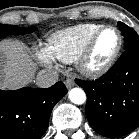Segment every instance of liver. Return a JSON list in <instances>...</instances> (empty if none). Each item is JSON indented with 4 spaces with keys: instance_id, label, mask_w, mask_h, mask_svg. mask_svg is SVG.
<instances>
[{
    "instance_id": "liver-1",
    "label": "liver",
    "mask_w": 139,
    "mask_h": 139,
    "mask_svg": "<svg viewBox=\"0 0 139 139\" xmlns=\"http://www.w3.org/2000/svg\"><path fill=\"white\" fill-rule=\"evenodd\" d=\"M35 64L24 43L14 40L0 42V88L18 89L31 82Z\"/></svg>"
}]
</instances>
